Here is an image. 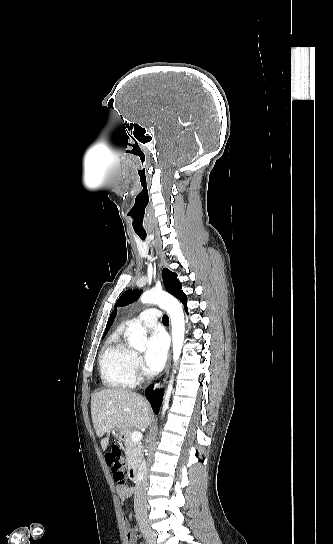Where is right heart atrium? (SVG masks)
I'll list each match as a JSON object with an SVG mask.
<instances>
[{
    "instance_id": "right-heart-atrium-1",
    "label": "right heart atrium",
    "mask_w": 333,
    "mask_h": 544,
    "mask_svg": "<svg viewBox=\"0 0 333 544\" xmlns=\"http://www.w3.org/2000/svg\"><path fill=\"white\" fill-rule=\"evenodd\" d=\"M130 370L135 381L140 380L145 374L140 356L133 351L130 358Z\"/></svg>"
}]
</instances>
